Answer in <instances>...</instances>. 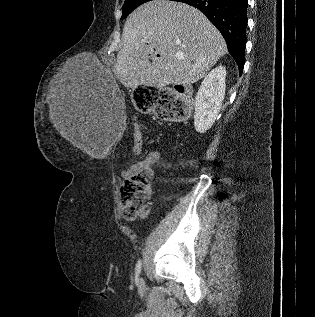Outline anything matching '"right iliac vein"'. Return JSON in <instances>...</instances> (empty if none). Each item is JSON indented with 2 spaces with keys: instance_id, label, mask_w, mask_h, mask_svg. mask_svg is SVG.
Instances as JSON below:
<instances>
[{
  "instance_id": "obj_1",
  "label": "right iliac vein",
  "mask_w": 315,
  "mask_h": 317,
  "mask_svg": "<svg viewBox=\"0 0 315 317\" xmlns=\"http://www.w3.org/2000/svg\"><path fill=\"white\" fill-rule=\"evenodd\" d=\"M142 282H143V280H142V279H140V284H142Z\"/></svg>"
}]
</instances>
